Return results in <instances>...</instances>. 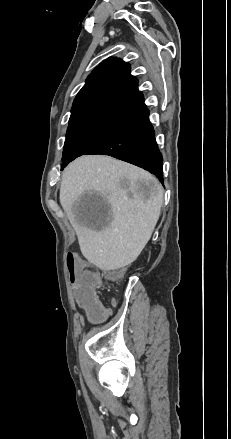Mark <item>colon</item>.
I'll use <instances>...</instances> for the list:
<instances>
[{
  "mask_svg": "<svg viewBox=\"0 0 231 439\" xmlns=\"http://www.w3.org/2000/svg\"><path fill=\"white\" fill-rule=\"evenodd\" d=\"M78 254L77 249H71L70 255L67 256V266L71 282L75 288L74 292L78 305L72 306L71 309L74 312L80 309L85 317H90L92 320H107L108 309L102 304L101 298L98 297L96 290L97 278L89 268V259H85L83 255ZM122 274L121 270L110 271L107 278L116 280Z\"/></svg>",
  "mask_w": 231,
  "mask_h": 439,
  "instance_id": "obj_1",
  "label": "colon"
}]
</instances>
